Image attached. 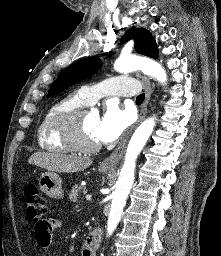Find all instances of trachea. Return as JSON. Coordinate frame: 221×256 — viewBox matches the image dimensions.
<instances>
[{
	"mask_svg": "<svg viewBox=\"0 0 221 256\" xmlns=\"http://www.w3.org/2000/svg\"><path fill=\"white\" fill-rule=\"evenodd\" d=\"M145 99V94H140L137 98L136 101L139 103H142Z\"/></svg>",
	"mask_w": 221,
	"mask_h": 256,
	"instance_id": "trachea-1",
	"label": "trachea"
}]
</instances>
